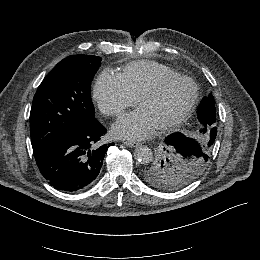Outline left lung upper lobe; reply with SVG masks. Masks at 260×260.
<instances>
[{
  "label": "left lung upper lobe",
  "instance_id": "left-lung-upper-lobe-1",
  "mask_svg": "<svg viewBox=\"0 0 260 260\" xmlns=\"http://www.w3.org/2000/svg\"><path fill=\"white\" fill-rule=\"evenodd\" d=\"M213 104V120L208 125L195 126L186 135L196 139L203 151L196 155H184L169 146L161 145L155 158L142 169V177L151 186L168 192L180 190L194 182L212 159L213 139L216 127V109L213 95L207 96ZM181 134V133H173Z\"/></svg>",
  "mask_w": 260,
  "mask_h": 260
}]
</instances>
